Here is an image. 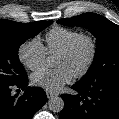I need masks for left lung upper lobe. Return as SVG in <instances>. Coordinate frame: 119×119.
<instances>
[{
	"mask_svg": "<svg viewBox=\"0 0 119 119\" xmlns=\"http://www.w3.org/2000/svg\"><path fill=\"white\" fill-rule=\"evenodd\" d=\"M67 26L88 28L96 37L94 61L80 84L119 80V26L95 13H84L57 21Z\"/></svg>",
	"mask_w": 119,
	"mask_h": 119,
	"instance_id": "left-lung-upper-lobe-1",
	"label": "left lung upper lobe"
}]
</instances>
